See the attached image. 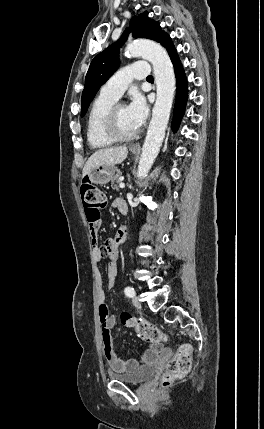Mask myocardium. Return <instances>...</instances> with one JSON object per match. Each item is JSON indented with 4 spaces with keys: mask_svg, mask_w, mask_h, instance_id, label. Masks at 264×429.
I'll use <instances>...</instances> for the list:
<instances>
[{
    "mask_svg": "<svg viewBox=\"0 0 264 429\" xmlns=\"http://www.w3.org/2000/svg\"><path fill=\"white\" fill-rule=\"evenodd\" d=\"M121 106L124 105L121 103H115L109 109L104 121V132L109 138L113 139L114 141H130L138 137V135L140 134V129L138 128L132 134H124L121 132L117 121V111Z\"/></svg>",
    "mask_w": 264,
    "mask_h": 429,
    "instance_id": "obj_1",
    "label": "myocardium"
}]
</instances>
